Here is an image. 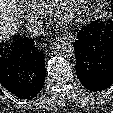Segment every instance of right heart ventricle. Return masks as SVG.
Segmentation results:
<instances>
[{"instance_id":"obj_1","label":"right heart ventricle","mask_w":113,"mask_h":113,"mask_svg":"<svg viewBox=\"0 0 113 113\" xmlns=\"http://www.w3.org/2000/svg\"><path fill=\"white\" fill-rule=\"evenodd\" d=\"M57 0H25L27 6L40 13L48 14L54 9Z\"/></svg>"}]
</instances>
